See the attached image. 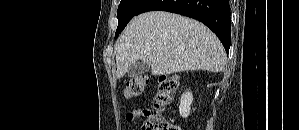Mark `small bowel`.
I'll return each instance as SVG.
<instances>
[{
    "label": "small bowel",
    "instance_id": "1",
    "mask_svg": "<svg viewBox=\"0 0 299 130\" xmlns=\"http://www.w3.org/2000/svg\"><path fill=\"white\" fill-rule=\"evenodd\" d=\"M140 115H141V110L134 109L132 111L127 112V114L125 115V119L127 122H133Z\"/></svg>",
    "mask_w": 299,
    "mask_h": 130
}]
</instances>
